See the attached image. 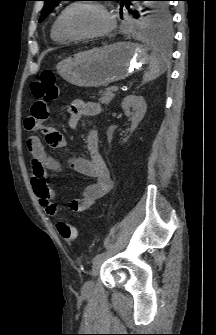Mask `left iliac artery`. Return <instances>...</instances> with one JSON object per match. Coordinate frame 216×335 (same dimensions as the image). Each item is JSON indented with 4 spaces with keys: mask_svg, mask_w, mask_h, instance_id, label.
<instances>
[{
    "mask_svg": "<svg viewBox=\"0 0 216 335\" xmlns=\"http://www.w3.org/2000/svg\"><path fill=\"white\" fill-rule=\"evenodd\" d=\"M110 253V250H106L103 251L99 254H97L94 258H93V263H95L96 261L103 259L106 255H108Z\"/></svg>",
    "mask_w": 216,
    "mask_h": 335,
    "instance_id": "44dca946",
    "label": "left iliac artery"
}]
</instances>
